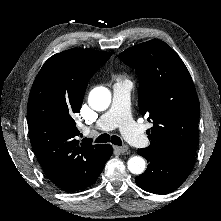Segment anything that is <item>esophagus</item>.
<instances>
[{
	"instance_id": "34e87169",
	"label": "esophagus",
	"mask_w": 221,
	"mask_h": 221,
	"mask_svg": "<svg viewBox=\"0 0 221 221\" xmlns=\"http://www.w3.org/2000/svg\"><path fill=\"white\" fill-rule=\"evenodd\" d=\"M114 149L120 153H126L129 149L128 145L114 146Z\"/></svg>"
}]
</instances>
